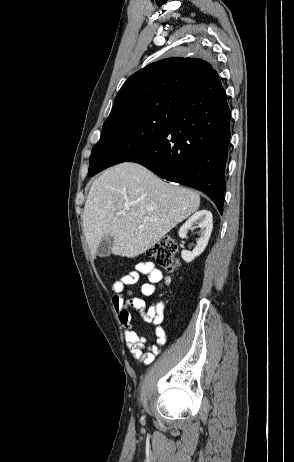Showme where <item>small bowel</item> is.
Instances as JSON below:
<instances>
[{
    "mask_svg": "<svg viewBox=\"0 0 294 462\" xmlns=\"http://www.w3.org/2000/svg\"><path fill=\"white\" fill-rule=\"evenodd\" d=\"M140 275L144 277V282L140 287L141 294L147 297L153 296L156 284L162 280L163 274L153 262L145 261L139 262L134 270L114 281L111 301L120 323L127 327L124 337L131 355L138 363L149 365L166 342V334L161 326L164 318V303L152 300L149 308L145 310V301L133 296V292L129 289L139 282ZM128 307L139 310L143 320L154 326V344L147 346L148 338L138 334L133 328Z\"/></svg>",
    "mask_w": 294,
    "mask_h": 462,
    "instance_id": "1",
    "label": "small bowel"
}]
</instances>
